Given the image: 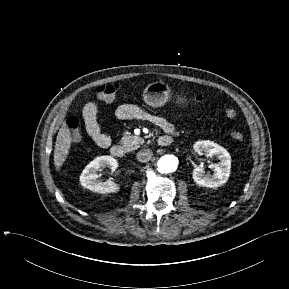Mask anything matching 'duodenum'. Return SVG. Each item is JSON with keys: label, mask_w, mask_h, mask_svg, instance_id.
<instances>
[{"label": "duodenum", "mask_w": 289, "mask_h": 289, "mask_svg": "<svg viewBox=\"0 0 289 289\" xmlns=\"http://www.w3.org/2000/svg\"><path fill=\"white\" fill-rule=\"evenodd\" d=\"M172 139L167 136H161L158 140L159 145L161 146H167L171 143ZM110 153L112 156L117 158H122L125 156L126 151L121 145H113L110 148Z\"/></svg>", "instance_id": "1"}]
</instances>
